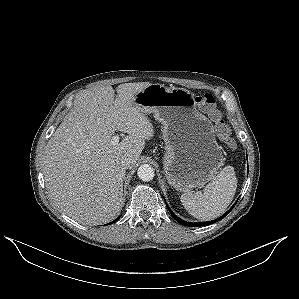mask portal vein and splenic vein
I'll use <instances>...</instances> for the list:
<instances>
[{"label":"portal vein and splenic vein","instance_id":"obj_1","mask_svg":"<svg viewBox=\"0 0 299 299\" xmlns=\"http://www.w3.org/2000/svg\"><path fill=\"white\" fill-rule=\"evenodd\" d=\"M119 139H120V137L118 135L113 136L112 139H111V144L114 145V146L117 145L118 142H119Z\"/></svg>","mask_w":299,"mask_h":299}]
</instances>
